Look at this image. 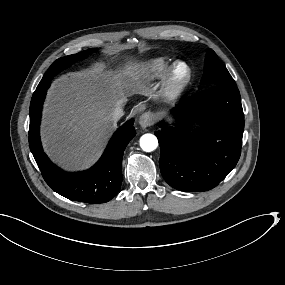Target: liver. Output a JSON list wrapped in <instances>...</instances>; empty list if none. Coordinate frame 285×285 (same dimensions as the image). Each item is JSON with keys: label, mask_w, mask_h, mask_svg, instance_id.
I'll return each mask as SVG.
<instances>
[{"label": "liver", "mask_w": 285, "mask_h": 285, "mask_svg": "<svg viewBox=\"0 0 285 285\" xmlns=\"http://www.w3.org/2000/svg\"><path fill=\"white\" fill-rule=\"evenodd\" d=\"M103 67L57 79L45 104L43 141L49 153L67 167L92 162L115 126L114 109L131 94H146L137 68L115 76Z\"/></svg>", "instance_id": "obj_1"}]
</instances>
